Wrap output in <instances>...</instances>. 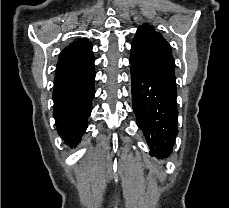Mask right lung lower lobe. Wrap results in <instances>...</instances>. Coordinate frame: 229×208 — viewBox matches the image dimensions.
Instances as JSON below:
<instances>
[{
    "label": "right lung lower lobe",
    "mask_w": 229,
    "mask_h": 208,
    "mask_svg": "<svg viewBox=\"0 0 229 208\" xmlns=\"http://www.w3.org/2000/svg\"><path fill=\"white\" fill-rule=\"evenodd\" d=\"M94 64L90 71L53 91L56 126L59 135L71 146L80 142L87 128L94 97Z\"/></svg>",
    "instance_id": "right-lung-lower-lobe-1"
}]
</instances>
